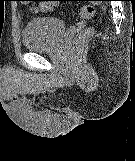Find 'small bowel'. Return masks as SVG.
I'll return each instance as SVG.
<instances>
[{"instance_id": "small-bowel-1", "label": "small bowel", "mask_w": 135, "mask_h": 161, "mask_svg": "<svg viewBox=\"0 0 135 161\" xmlns=\"http://www.w3.org/2000/svg\"><path fill=\"white\" fill-rule=\"evenodd\" d=\"M49 4H43L44 9H49Z\"/></svg>"}]
</instances>
